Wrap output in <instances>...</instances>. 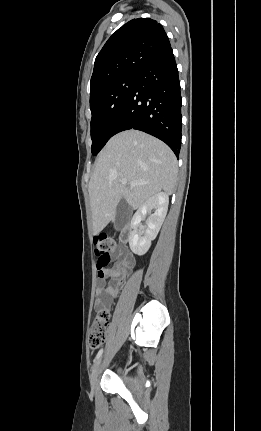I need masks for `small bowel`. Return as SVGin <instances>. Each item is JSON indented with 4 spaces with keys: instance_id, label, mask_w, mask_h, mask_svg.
I'll use <instances>...</instances> for the list:
<instances>
[{
    "instance_id": "obj_1",
    "label": "small bowel",
    "mask_w": 261,
    "mask_h": 431,
    "mask_svg": "<svg viewBox=\"0 0 261 431\" xmlns=\"http://www.w3.org/2000/svg\"><path fill=\"white\" fill-rule=\"evenodd\" d=\"M113 255L120 259L122 267L105 268L103 274L98 275L95 301V310L97 312L108 310L112 299L118 292L123 276L135 264L132 254L124 247L115 248Z\"/></svg>"
}]
</instances>
